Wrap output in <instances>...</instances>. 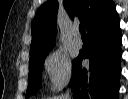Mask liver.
<instances>
[{
    "mask_svg": "<svg viewBox=\"0 0 128 99\" xmlns=\"http://www.w3.org/2000/svg\"><path fill=\"white\" fill-rule=\"evenodd\" d=\"M54 99H63V97H57V98H54Z\"/></svg>",
    "mask_w": 128,
    "mask_h": 99,
    "instance_id": "obj_1",
    "label": "liver"
}]
</instances>
